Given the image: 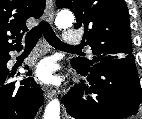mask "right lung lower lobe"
Instances as JSON below:
<instances>
[{
    "label": "right lung lower lobe",
    "instance_id": "98d812e1",
    "mask_svg": "<svg viewBox=\"0 0 142 119\" xmlns=\"http://www.w3.org/2000/svg\"><path fill=\"white\" fill-rule=\"evenodd\" d=\"M9 60V51L0 54V119H33L43 103L42 90L32 77L20 81V84H5Z\"/></svg>",
    "mask_w": 142,
    "mask_h": 119
}]
</instances>
